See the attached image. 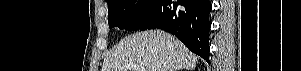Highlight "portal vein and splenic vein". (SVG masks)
<instances>
[{"instance_id": "1", "label": "portal vein and splenic vein", "mask_w": 301, "mask_h": 71, "mask_svg": "<svg viewBox=\"0 0 301 71\" xmlns=\"http://www.w3.org/2000/svg\"><path fill=\"white\" fill-rule=\"evenodd\" d=\"M138 71H148V69L145 66H135Z\"/></svg>"}]
</instances>
